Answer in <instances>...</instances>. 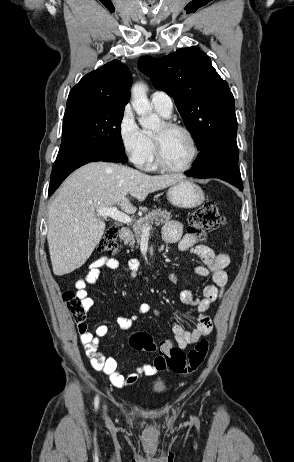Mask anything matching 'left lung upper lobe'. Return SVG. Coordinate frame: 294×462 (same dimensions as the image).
<instances>
[{
	"mask_svg": "<svg viewBox=\"0 0 294 462\" xmlns=\"http://www.w3.org/2000/svg\"><path fill=\"white\" fill-rule=\"evenodd\" d=\"M138 67L156 89L174 98L200 151L236 139L233 94L205 53L195 47L181 48L159 59L141 57Z\"/></svg>",
	"mask_w": 294,
	"mask_h": 462,
	"instance_id": "left-lung-upper-lobe-1",
	"label": "left lung upper lobe"
}]
</instances>
